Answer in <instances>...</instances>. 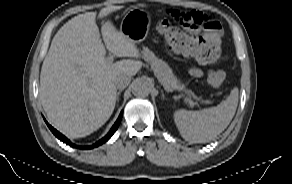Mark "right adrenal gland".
<instances>
[{"label":"right adrenal gland","instance_id":"obj_1","mask_svg":"<svg viewBox=\"0 0 292 184\" xmlns=\"http://www.w3.org/2000/svg\"><path fill=\"white\" fill-rule=\"evenodd\" d=\"M121 92H122V90H119V91L117 92V102H119V97H120Z\"/></svg>","mask_w":292,"mask_h":184}]
</instances>
